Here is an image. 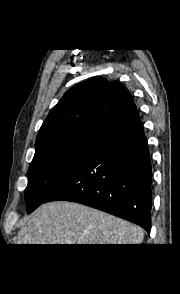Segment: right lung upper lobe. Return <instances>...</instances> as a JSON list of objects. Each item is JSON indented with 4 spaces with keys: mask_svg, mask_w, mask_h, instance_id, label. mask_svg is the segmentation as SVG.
Returning <instances> with one entry per match:
<instances>
[{
    "mask_svg": "<svg viewBox=\"0 0 180 294\" xmlns=\"http://www.w3.org/2000/svg\"><path fill=\"white\" fill-rule=\"evenodd\" d=\"M134 111L132 96L122 84L104 78L80 83L50 111L36 138L35 153L74 139L100 141Z\"/></svg>",
    "mask_w": 180,
    "mask_h": 294,
    "instance_id": "right-lung-upper-lobe-1",
    "label": "right lung upper lobe"
}]
</instances>
